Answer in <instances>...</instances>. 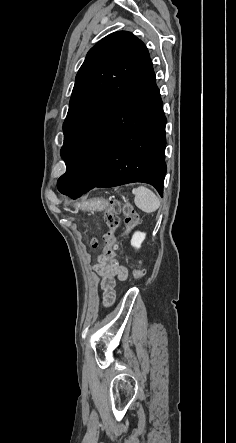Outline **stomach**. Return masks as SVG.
<instances>
[{"label": "stomach", "instance_id": "obj_1", "mask_svg": "<svg viewBox=\"0 0 236 443\" xmlns=\"http://www.w3.org/2000/svg\"><path fill=\"white\" fill-rule=\"evenodd\" d=\"M106 206H107L106 201L102 199H94L91 200L90 202H85L82 204L83 208L98 210V211L104 210Z\"/></svg>", "mask_w": 236, "mask_h": 443}]
</instances>
